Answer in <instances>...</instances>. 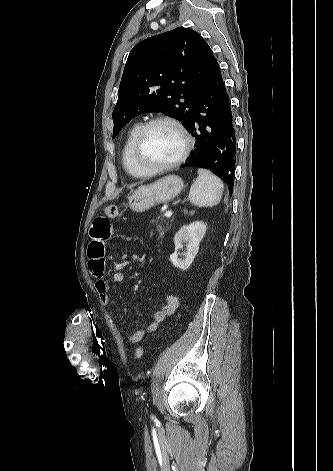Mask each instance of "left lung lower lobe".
I'll return each instance as SVG.
<instances>
[{
	"mask_svg": "<svg viewBox=\"0 0 333 471\" xmlns=\"http://www.w3.org/2000/svg\"><path fill=\"white\" fill-rule=\"evenodd\" d=\"M195 138L189 160L181 166L213 171L233 190L236 135L231 105L219 65L202 87L194 116L187 126Z\"/></svg>",
	"mask_w": 333,
	"mask_h": 471,
	"instance_id": "obj_1",
	"label": "left lung lower lobe"
}]
</instances>
